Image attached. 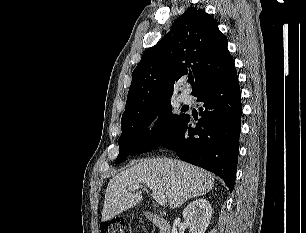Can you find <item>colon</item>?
<instances>
[{
	"mask_svg": "<svg viewBox=\"0 0 306 233\" xmlns=\"http://www.w3.org/2000/svg\"><path fill=\"white\" fill-rule=\"evenodd\" d=\"M125 221L120 218L112 219L101 225V233H123Z\"/></svg>",
	"mask_w": 306,
	"mask_h": 233,
	"instance_id": "colon-1",
	"label": "colon"
}]
</instances>
